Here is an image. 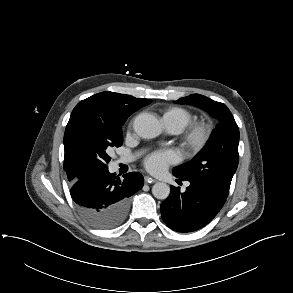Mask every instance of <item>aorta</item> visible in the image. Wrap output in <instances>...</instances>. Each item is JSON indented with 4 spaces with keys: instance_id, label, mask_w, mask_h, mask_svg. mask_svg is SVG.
Returning a JSON list of instances; mask_svg holds the SVG:
<instances>
[{
    "instance_id": "762f6f07",
    "label": "aorta",
    "mask_w": 293,
    "mask_h": 293,
    "mask_svg": "<svg viewBox=\"0 0 293 293\" xmlns=\"http://www.w3.org/2000/svg\"><path fill=\"white\" fill-rule=\"evenodd\" d=\"M134 131L144 139H152L162 132L161 124L157 118L149 114L138 115L133 123ZM152 194L155 198L164 200L170 194V187L163 182H157L152 187Z\"/></svg>"
}]
</instances>
